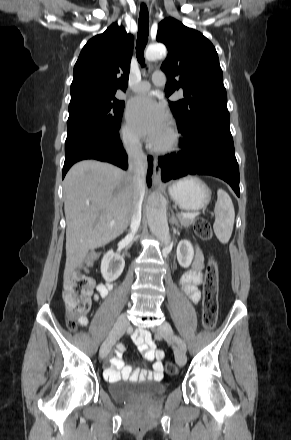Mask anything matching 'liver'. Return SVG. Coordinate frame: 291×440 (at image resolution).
Instances as JSON below:
<instances>
[{"label":"liver","mask_w":291,"mask_h":440,"mask_svg":"<svg viewBox=\"0 0 291 440\" xmlns=\"http://www.w3.org/2000/svg\"><path fill=\"white\" fill-rule=\"evenodd\" d=\"M63 188L67 278L90 249L106 245L127 229L134 185L129 172L108 163L83 160L68 171ZM111 221L115 222L113 226Z\"/></svg>","instance_id":"liver-1"}]
</instances>
